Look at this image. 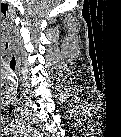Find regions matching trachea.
<instances>
[{"label": "trachea", "instance_id": "obj_1", "mask_svg": "<svg viewBox=\"0 0 121 137\" xmlns=\"http://www.w3.org/2000/svg\"><path fill=\"white\" fill-rule=\"evenodd\" d=\"M1 13L3 15L4 24H5L6 28L9 31H11V29H12V20H11V17H10V12H9L7 4H5L3 7H1Z\"/></svg>", "mask_w": 121, "mask_h": 137}]
</instances>
